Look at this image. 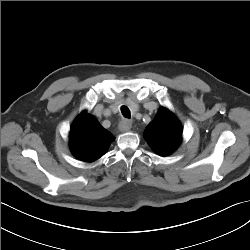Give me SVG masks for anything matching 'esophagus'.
<instances>
[{
  "instance_id": "esophagus-1",
  "label": "esophagus",
  "mask_w": 250,
  "mask_h": 250,
  "mask_svg": "<svg viewBox=\"0 0 250 250\" xmlns=\"http://www.w3.org/2000/svg\"><path fill=\"white\" fill-rule=\"evenodd\" d=\"M118 127L121 132H128L132 127V122L128 119H123L120 121Z\"/></svg>"
}]
</instances>
